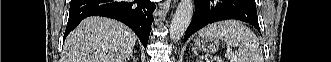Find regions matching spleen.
Returning <instances> with one entry per match:
<instances>
[{
    "mask_svg": "<svg viewBox=\"0 0 331 62\" xmlns=\"http://www.w3.org/2000/svg\"><path fill=\"white\" fill-rule=\"evenodd\" d=\"M204 38H217L229 46L238 47L233 62H262V50L255 34L242 23L235 20L210 24L199 31Z\"/></svg>",
    "mask_w": 331,
    "mask_h": 62,
    "instance_id": "spleen-1",
    "label": "spleen"
}]
</instances>
